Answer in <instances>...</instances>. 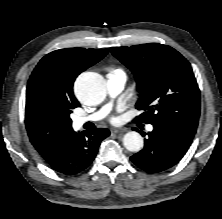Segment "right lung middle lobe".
<instances>
[{
    "label": "right lung middle lobe",
    "instance_id": "dd1d6c3e",
    "mask_svg": "<svg viewBox=\"0 0 222 219\" xmlns=\"http://www.w3.org/2000/svg\"><path fill=\"white\" fill-rule=\"evenodd\" d=\"M37 88L40 93H42V106L47 111H50L55 114L62 115L66 118H70L69 115L71 113V110L75 107H78L79 104H65V103H58L51 98H48L45 94V89H47V78L45 76H42L39 78L37 82Z\"/></svg>",
    "mask_w": 222,
    "mask_h": 219
}]
</instances>
